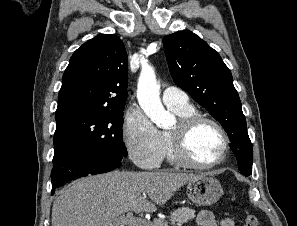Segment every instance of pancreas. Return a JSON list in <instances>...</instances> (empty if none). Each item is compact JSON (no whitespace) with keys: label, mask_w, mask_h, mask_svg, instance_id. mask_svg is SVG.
Returning <instances> with one entry per match:
<instances>
[{"label":"pancreas","mask_w":297,"mask_h":226,"mask_svg":"<svg viewBox=\"0 0 297 226\" xmlns=\"http://www.w3.org/2000/svg\"><path fill=\"white\" fill-rule=\"evenodd\" d=\"M195 217V210L182 207L176 209L175 211L170 213V217L168 220L166 219H156L150 226H168L169 224L175 226H181L183 223H187L194 219Z\"/></svg>","instance_id":"pancreas-1"}]
</instances>
